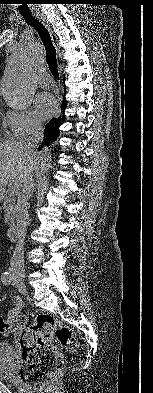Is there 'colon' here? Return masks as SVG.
I'll use <instances>...</instances> for the list:
<instances>
[{
  "label": "colon",
  "instance_id": "obj_1",
  "mask_svg": "<svg viewBox=\"0 0 153 393\" xmlns=\"http://www.w3.org/2000/svg\"><path fill=\"white\" fill-rule=\"evenodd\" d=\"M12 330H21L19 336L22 351L20 377L35 391L41 390L63 366L62 352L51 344L54 335L68 352L75 353L79 348L72 330L50 314L37 315L29 326L27 317L24 315L14 314L7 319L0 317V332Z\"/></svg>",
  "mask_w": 153,
  "mask_h": 393
}]
</instances>
